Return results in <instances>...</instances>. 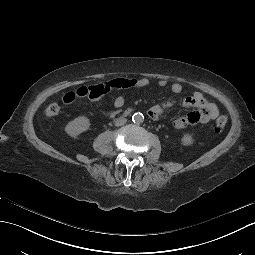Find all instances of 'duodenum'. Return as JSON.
<instances>
[{"label":"duodenum","instance_id":"obj_1","mask_svg":"<svg viewBox=\"0 0 255 255\" xmlns=\"http://www.w3.org/2000/svg\"><path fill=\"white\" fill-rule=\"evenodd\" d=\"M129 113H130V110H126V111H125V114H129Z\"/></svg>","mask_w":255,"mask_h":255}]
</instances>
